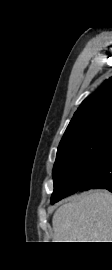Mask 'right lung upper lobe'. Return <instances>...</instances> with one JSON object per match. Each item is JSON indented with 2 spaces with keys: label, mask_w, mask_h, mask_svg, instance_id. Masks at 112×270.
<instances>
[{
  "label": "right lung upper lobe",
  "mask_w": 112,
  "mask_h": 270,
  "mask_svg": "<svg viewBox=\"0 0 112 270\" xmlns=\"http://www.w3.org/2000/svg\"><path fill=\"white\" fill-rule=\"evenodd\" d=\"M109 122H112V77L83 101L70 121L61 142Z\"/></svg>",
  "instance_id": "cb5924a9"
}]
</instances>
